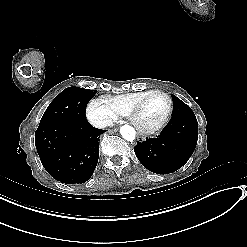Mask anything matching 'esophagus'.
I'll use <instances>...</instances> for the list:
<instances>
[{
	"mask_svg": "<svg viewBox=\"0 0 247 247\" xmlns=\"http://www.w3.org/2000/svg\"><path fill=\"white\" fill-rule=\"evenodd\" d=\"M145 139H146V138H145L144 136H142V135H138V136H137V140L140 141V142L145 141Z\"/></svg>",
	"mask_w": 247,
	"mask_h": 247,
	"instance_id": "34e87169",
	"label": "esophagus"
}]
</instances>
